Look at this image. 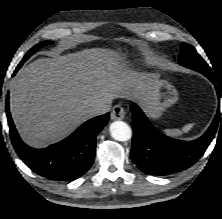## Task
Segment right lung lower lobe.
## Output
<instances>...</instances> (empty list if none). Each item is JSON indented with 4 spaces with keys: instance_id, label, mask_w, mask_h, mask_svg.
<instances>
[{
    "instance_id": "1",
    "label": "right lung lower lobe",
    "mask_w": 222,
    "mask_h": 219,
    "mask_svg": "<svg viewBox=\"0 0 222 219\" xmlns=\"http://www.w3.org/2000/svg\"><path fill=\"white\" fill-rule=\"evenodd\" d=\"M6 113L11 140L18 156L35 173L55 181H71L88 171L96 153V136L109 120V113L94 117L66 139L44 149H35L20 139L9 112L8 99Z\"/></svg>"
}]
</instances>
